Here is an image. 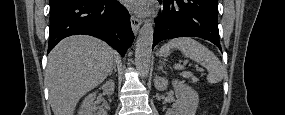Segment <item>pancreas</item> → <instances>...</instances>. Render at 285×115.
Segmentation results:
<instances>
[{
    "label": "pancreas",
    "mask_w": 285,
    "mask_h": 115,
    "mask_svg": "<svg viewBox=\"0 0 285 115\" xmlns=\"http://www.w3.org/2000/svg\"><path fill=\"white\" fill-rule=\"evenodd\" d=\"M181 76L186 79H191L194 83L197 81V78L191 72H182Z\"/></svg>",
    "instance_id": "cf45deb5"
}]
</instances>
